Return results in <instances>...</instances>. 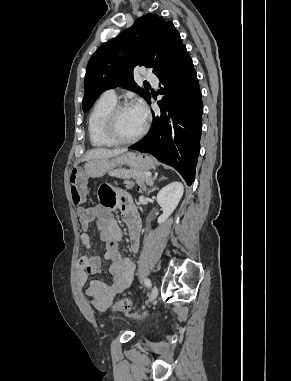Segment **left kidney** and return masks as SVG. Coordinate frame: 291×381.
I'll list each match as a JSON object with an SVG mask.
<instances>
[{"label": "left kidney", "instance_id": "5707ae66", "mask_svg": "<svg viewBox=\"0 0 291 381\" xmlns=\"http://www.w3.org/2000/svg\"><path fill=\"white\" fill-rule=\"evenodd\" d=\"M184 187L181 182L175 181L163 187L157 194V202L163 210L158 223L161 224L173 213L183 196Z\"/></svg>", "mask_w": 291, "mask_h": 381}]
</instances>
